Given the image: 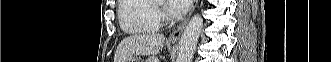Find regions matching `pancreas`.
Masks as SVG:
<instances>
[{"label": "pancreas", "instance_id": "cf45deb5", "mask_svg": "<svg viewBox=\"0 0 331 62\" xmlns=\"http://www.w3.org/2000/svg\"><path fill=\"white\" fill-rule=\"evenodd\" d=\"M146 62H157V60L155 57H150L148 60H146Z\"/></svg>", "mask_w": 331, "mask_h": 62}]
</instances>
